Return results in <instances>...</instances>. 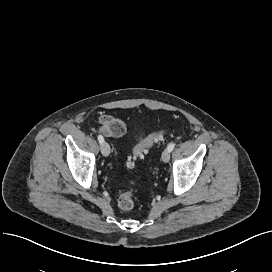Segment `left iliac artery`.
Instances as JSON below:
<instances>
[{
  "label": "left iliac artery",
  "instance_id": "left-iliac-artery-1",
  "mask_svg": "<svg viewBox=\"0 0 272 272\" xmlns=\"http://www.w3.org/2000/svg\"><path fill=\"white\" fill-rule=\"evenodd\" d=\"M168 150L171 152L174 148H175V143L174 142H171L169 145H168Z\"/></svg>",
  "mask_w": 272,
  "mask_h": 272
}]
</instances>
